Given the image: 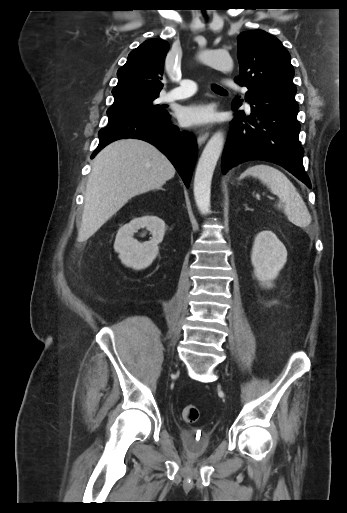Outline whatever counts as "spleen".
Returning <instances> with one entry per match:
<instances>
[{
	"instance_id": "1",
	"label": "spleen",
	"mask_w": 347,
	"mask_h": 513,
	"mask_svg": "<svg viewBox=\"0 0 347 513\" xmlns=\"http://www.w3.org/2000/svg\"><path fill=\"white\" fill-rule=\"evenodd\" d=\"M245 176L258 178L279 197L278 208L283 209L290 222L303 228L310 224L311 215L305 202L283 172L267 164H258L248 168L243 174Z\"/></svg>"
}]
</instances>
